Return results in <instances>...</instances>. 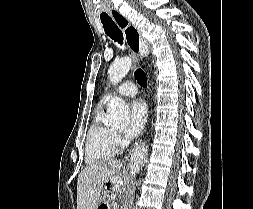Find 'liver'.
<instances>
[{
    "label": "liver",
    "instance_id": "6515ba94",
    "mask_svg": "<svg viewBox=\"0 0 253 209\" xmlns=\"http://www.w3.org/2000/svg\"><path fill=\"white\" fill-rule=\"evenodd\" d=\"M130 175L120 160H105L86 166L77 180V209H96L104 185L110 182L113 191L126 185Z\"/></svg>",
    "mask_w": 253,
    "mask_h": 209
}]
</instances>
